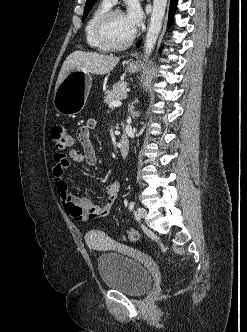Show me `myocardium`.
I'll return each instance as SVG.
<instances>
[{
	"label": "myocardium",
	"mask_w": 247,
	"mask_h": 332,
	"mask_svg": "<svg viewBox=\"0 0 247 332\" xmlns=\"http://www.w3.org/2000/svg\"><path fill=\"white\" fill-rule=\"evenodd\" d=\"M123 13L119 8H110L106 11L96 22L94 27V34L98 42L103 45L107 50H121L128 47L135 39L136 32L133 31L132 34L121 43H113L109 40L106 29L111 20V18L117 14Z\"/></svg>",
	"instance_id": "f54148a6"
}]
</instances>
